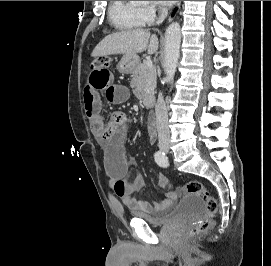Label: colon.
Listing matches in <instances>:
<instances>
[{
	"mask_svg": "<svg viewBox=\"0 0 271 266\" xmlns=\"http://www.w3.org/2000/svg\"><path fill=\"white\" fill-rule=\"evenodd\" d=\"M110 64V58L100 57L91 62L90 69L98 67H109ZM180 189L188 194H195L200 196L205 203V213L203 217L189 231L188 236L193 237L206 232L213 224L214 216L218 208L217 200L210 194L205 185L199 181L187 182Z\"/></svg>",
	"mask_w": 271,
	"mask_h": 266,
	"instance_id": "1",
	"label": "colon"
}]
</instances>
